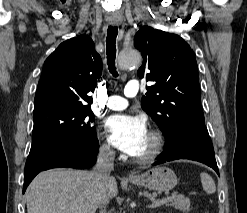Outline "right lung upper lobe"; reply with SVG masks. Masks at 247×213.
<instances>
[{"instance_id": "1", "label": "right lung upper lobe", "mask_w": 247, "mask_h": 213, "mask_svg": "<svg viewBox=\"0 0 247 213\" xmlns=\"http://www.w3.org/2000/svg\"><path fill=\"white\" fill-rule=\"evenodd\" d=\"M102 61L89 36L61 43L44 63L34 101V111L65 105L90 108Z\"/></svg>"}]
</instances>
